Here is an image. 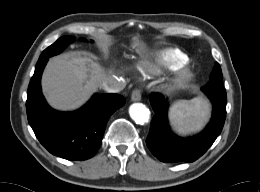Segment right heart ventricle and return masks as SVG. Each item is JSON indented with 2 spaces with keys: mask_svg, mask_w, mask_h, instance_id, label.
Here are the masks:
<instances>
[{
  "mask_svg": "<svg viewBox=\"0 0 260 192\" xmlns=\"http://www.w3.org/2000/svg\"><path fill=\"white\" fill-rule=\"evenodd\" d=\"M163 65L175 70L187 62V56L178 50H169L161 58Z\"/></svg>",
  "mask_w": 260,
  "mask_h": 192,
  "instance_id": "right-heart-ventricle-1",
  "label": "right heart ventricle"
}]
</instances>
